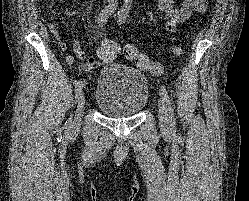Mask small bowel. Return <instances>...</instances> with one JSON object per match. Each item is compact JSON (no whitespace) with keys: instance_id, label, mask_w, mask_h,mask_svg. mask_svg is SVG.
<instances>
[{"instance_id":"small-bowel-1","label":"small bowel","mask_w":249,"mask_h":201,"mask_svg":"<svg viewBox=\"0 0 249 201\" xmlns=\"http://www.w3.org/2000/svg\"><path fill=\"white\" fill-rule=\"evenodd\" d=\"M207 0H158V9L167 19L166 28L170 32L177 30L179 24L187 21L193 13H201L205 10ZM51 34L59 43L60 49L66 50V43L61 39L57 26L53 23L48 24ZM102 28V27H101ZM82 60L84 63L77 67L78 71L93 70L99 66V61L95 57L84 51L78 39L72 43V54L67 55L66 63L74 65L76 60Z\"/></svg>"}]
</instances>
